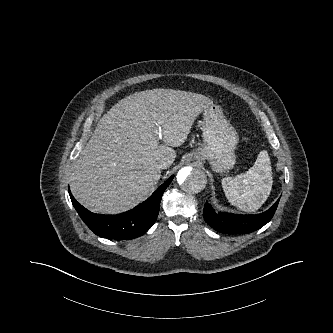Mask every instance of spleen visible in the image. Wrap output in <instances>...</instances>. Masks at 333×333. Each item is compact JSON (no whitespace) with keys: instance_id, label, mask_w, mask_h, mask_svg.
I'll return each instance as SVG.
<instances>
[{"instance_id":"1","label":"spleen","mask_w":333,"mask_h":333,"mask_svg":"<svg viewBox=\"0 0 333 333\" xmlns=\"http://www.w3.org/2000/svg\"><path fill=\"white\" fill-rule=\"evenodd\" d=\"M266 150L261 151L254 165L244 174L222 179L228 201L242 211L258 210L272 189V171Z\"/></svg>"}]
</instances>
